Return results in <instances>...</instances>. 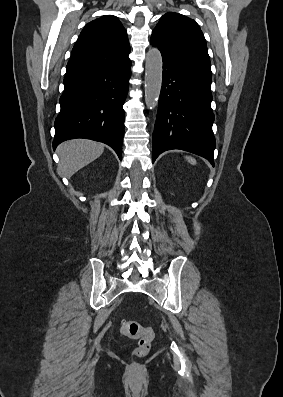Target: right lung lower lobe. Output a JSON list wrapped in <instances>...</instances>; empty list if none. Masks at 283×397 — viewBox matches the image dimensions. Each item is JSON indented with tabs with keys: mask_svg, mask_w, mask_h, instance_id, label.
Listing matches in <instances>:
<instances>
[{
	"mask_svg": "<svg viewBox=\"0 0 283 397\" xmlns=\"http://www.w3.org/2000/svg\"><path fill=\"white\" fill-rule=\"evenodd\" d=\"M130 66L127 61L64 78L53 149L65 140L87 138L109 145L121 159Z\"/></svg>",
	"mask_w": 283,
	"mask_h": 397,
	"instance_id": "98d812e1",
	"label": "right lung lower lobe"
}]
</instances>
